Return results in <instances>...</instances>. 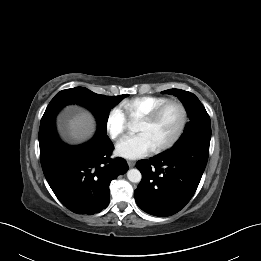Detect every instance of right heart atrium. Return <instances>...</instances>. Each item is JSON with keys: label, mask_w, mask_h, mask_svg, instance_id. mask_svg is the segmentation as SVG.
<instances>
[{"label": "right heart atrium", "mask_w": 261, "mask_h": 261, "mask_svg": "<svg viewBox=\"0 0 261 261\" xmlns=\"http://www.w3.org/2000/svg\"><path fill=\"white\" fill-rule=\"evenodd\" d=\"M105 126L109 136L118 139L128 127V120L123 110L119 107L112 108L106 116Z\"/></svg>", "instance_id": "right-heart-atrium-1"}]
</instances>
